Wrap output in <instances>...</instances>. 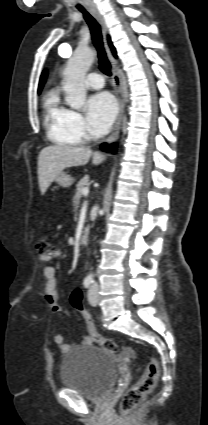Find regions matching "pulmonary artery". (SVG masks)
I'll use <instances>...</instances> for the list:
<instances>
[{
    "instance_id": "pulmonary-artery-1",
    "label": "pulmonary artery",
    "mask_w": 208,
    "mask_h": 425,
    "mask_svg": "<svg viewBox=\"0 0 208 425\" xmlns=\"http://www.w3.org/2000/svg\"><path fill=\"white\" fill-rule=\"evenodd\" d=\"M85 84L91 89H101L104 86V79L100 73L92 72L88 74Z\"/></svg>"
}]
</instances>
